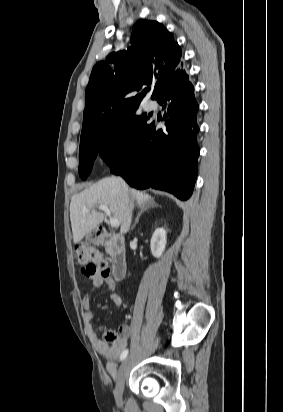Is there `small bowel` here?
I'll return each mask as SVG.
<instances>
[{
    "label": "small bowel",
    "mask_w": 283,
    "mask_h": 412,
    "mask_svg": "<svg viewBox=\"0 0 283 412\" xmlns=\"http://www.w3.org/2000/svg\"><path fill=\"white\" fill-rule=\"evenodd\" d=\"M92 280L93 287L97 288L105 284L107 288L112 291L110 295L111 301L117 305L121 306L123 300L121 296L113 292L116 288L115 281L111 277H101L99 275H89ZM82 319L84 322V327L87 335L89 336L95 349L106 359V372L107 375L111 378H115L117 375V361L119 356H121L125 347L127 346L128 339L131 335V327L129 325L123 324L119 327L120 331V340L118 346L113 348L108 346L105 342L101 341L93 328V320L95 317L94 312L91 309V295L87 293L82 300Z\"/></svg>",
    "instance_id": "1"
}]
</instances>
